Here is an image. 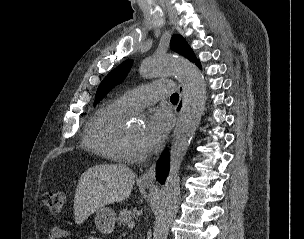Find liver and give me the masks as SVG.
<instances>
[{
  "mask_svg": "<svg viewBox=\"0 0 304 239\" xmlns=\"http://www.w3.org/2000/svg\"><path fill=\"white\" fill-rule=\"evenodd\" d=\"M135 182L134 172L123 164L96 165L80 177L74 196L76 224L108 204L129 198Z\"/></svg>",
  "mask_w": 304,
  "mask_h": 239,
  "instance_id": "1",
  "label": "liver"
}]
</instances>
